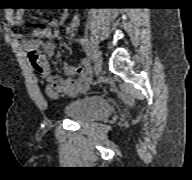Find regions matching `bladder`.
<instances>
[{
    "label": "bladder",
    "instance_id": "obj_1",
    "mask_svg": "<svg viewBox=\"0 0 192 180\" xmlns=\"http://www.w3.org/2000/svg\"><path fill=\"white\" fill-rule=\"evenodd\" d=\"M62 113L65 117L73 121H94L110 116L112 113V106L103 96L92 95L67 104L63 108Z\"/></svg>",
    "mask_w": 192,
    "mask_h": 180
}]
</instances>
